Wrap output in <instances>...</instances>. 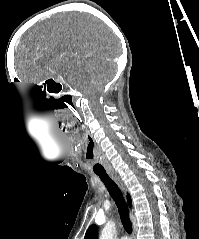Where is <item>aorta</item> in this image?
I'll use <instances>...</instances> for the list:
<instances>
[{
    "label": "aorta",
    "mask_w": 199,
    "mask_h": 239,
    "mask_svg": "<svg viewBox=\"0 0 199 239\" xmlns=\"http://www.w3.org/2000/svg\"><path fill=\"white\" fill-rule=\"evenodd\" d=\"M115 232H116L115 223L112 221H108L105 224L99 239H113Z\"/></svg>",
    "instance_id": "aorta-1"
}]
</instances>
